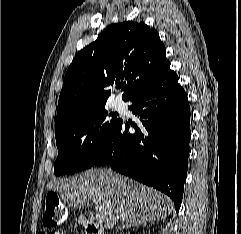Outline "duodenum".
<instances>
[{"label":"duodenum","instance_id":"410a0bca","mask_svg":"<svg viewBox=\"0 0 241 234\" xmlns=\"http://www.w3.org/2000/svg\"><path fill=\"white\" fill-rule=\"evenodd\" d=\"M81 223L87 234H104L103 229L97 223L88 219L86 216H81Z\"/></svg>","mask_w":241,"mask_h":234}]
</instances>
